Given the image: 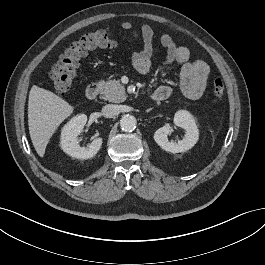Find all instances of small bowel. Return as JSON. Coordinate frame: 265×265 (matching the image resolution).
Wrapping results in <instances>:
<instances>
[{
    "label": "small bowel",
    "instance_id": "small-bowel-1",
    "mask_svg": "<svg viewBox=\"0 0 265 265\" xmlns=\"http://www.w3.org/2000/svg\"><path fill=\"white\" fill-rule=\"evenodd\" d=\"M122 28L132 34L135 39H141L143 47L132 54L135 69L142 74L147 73L152 65L154 31L149 25L141 26L136 30L129 21L122 23ZM161 45L166 49V62L181 65V91L189 99H198L202 96L209 77L210 68L202 60H191L190 51L186 46L176 44L169 34H162ZM171 93L167 85H160L154 91L159 100L166 99Z\"/></svg>",
    "mask_w": 265,
    "mask_h": 265
}]
</instances>
